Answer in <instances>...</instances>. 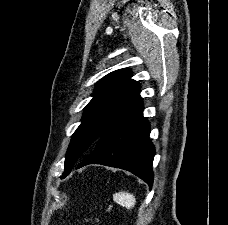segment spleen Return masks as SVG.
Returning <instances> with one entry per match:
<instances>
[{"instance_id": "obj_1", "label": "spleen", "mask_w": 228, "mask_h": 225, "mask_svg": "<svg viewBox=\"0 0 228 225\" xmlns=\"http://www.w3.org/2000/svg\"><path fill=\"white\" fill-rule=\"evenodd\" d=\"M113 201L118 203V205H122V207H126V209H133L136 199L132 193H116L113 197Z\"/></svg>"}]
</instances>
